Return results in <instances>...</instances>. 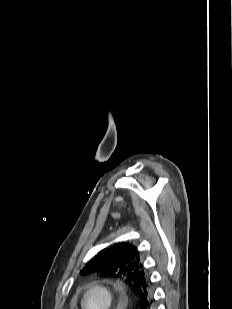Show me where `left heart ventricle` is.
Returning <instances> with one entry per match:
<instances>
[{
  "instance_id": "1",
  "label": "left heart ventricle",
  "mask_w": 232,
  "mask_h": 309,
  "mask_svg": "<svg viewBox=\"0 0 232 309\" xmlns=\"http://www.w3.org/2000/svg\"><path fill=\"white\" fill-rule=\"evenodd\" d=\"M106 300L104 296L97 291L91 292L86 299V309H103Z\"/></svg>"
}]
</instances>
